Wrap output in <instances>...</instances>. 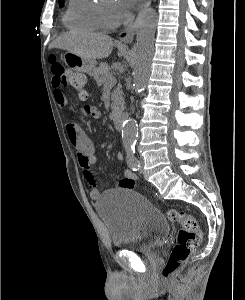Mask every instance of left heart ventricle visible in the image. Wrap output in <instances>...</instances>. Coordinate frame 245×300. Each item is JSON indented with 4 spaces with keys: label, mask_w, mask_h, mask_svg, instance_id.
Segmentation results:
<instances>
[{
    "label": "left heart ventricle",
    "mask_w": 245,
    "mask_h": 300,
    "mask_svg": "<svg viewBox=\"0 0 245 300\" xmlns=\"http://www.w3.org/2000/svg\"><path fill=\"white\" fill-rule=\"evenodd\" d=\"M104 6L106 7L107 11L114 17H117V11L115 7V3L112 1L105 2Z\"/></svg>",
    "instance_id": "1"
}]
</instances>
